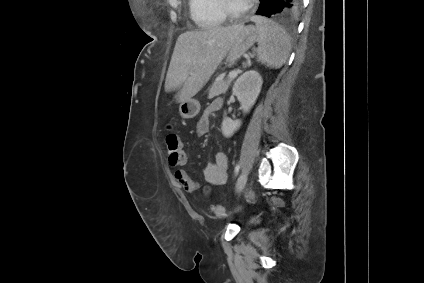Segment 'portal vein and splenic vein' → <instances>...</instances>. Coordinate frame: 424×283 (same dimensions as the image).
<instances>
[{
  "instance_id": "1",
  "label": "portal vein and splenic vein",
  "mask_w": 424,
  "mask_h": 283,
  "mask_svg": "<svg viewBox=\"0 0 424 283\" xmlns=\"http://www.w3.org/2000/svg\"><path fill=\"white\" fill-rule=\"evenodd\" d=\"M236 76H237V71H232V72L229 73L228 78H233V77H236Z\"/></svg>"
}]
</instances>
